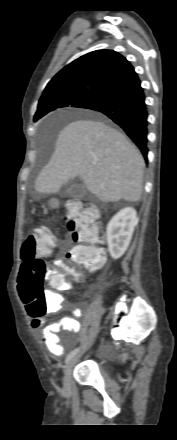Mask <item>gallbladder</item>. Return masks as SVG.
<instances>
[{
	"instance_id": "1",
	"label": "gallbladder",
	"mask_w": 177,
	"mask_h": 440,
	"mask_svg": "<svg viewBox=\"0 0 177 440\" xmlns=\"http://www.w3.org/2000/svg\"><path fill=\"white\" fill-rule=\"evenodd\" d=\"M85 193V186L83 184L71 183L69 185L68 194L71 197H81Z\"/></svg>"
}]
</instances>
